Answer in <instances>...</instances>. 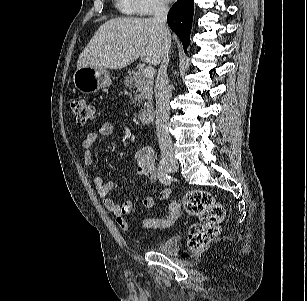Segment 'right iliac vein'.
I'll use <instances>...</instances> for the list:
<instances>
[{"label": "right iliac vein", "mask_w": 307, "mask_h": 301, "mask_svg": "<svg viewBox=\"0 0 307 301\" xmlns=\"http://www.w3.org/2000/svg\"><path fill=\"white\" fill-rule=\"evenodd\" d=\"M165 168L169 169L171 171H177L178 170V163L177 161L173 160L171 157L167 158L165 161Z\"/></svg>", "instance_id": "right-iliac-vein-1"}]
</instances>
